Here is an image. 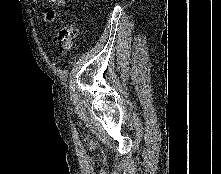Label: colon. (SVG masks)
<instances>
[{"mask_svg":"<svg viewBox=\"0 0 221 174\" xmlns=\"http://www.w3.org/2000/svg\"><path fill=\"white\" fill-rule=\"evenodd\" d=\"M78 34V25L73 20L65 21L56 32L54 40L62 53L68 52Z\"/></svg>","mask_w":221,"mask_h":174,"instance_id":"obj_1","label":"colon"}]
</instances>
